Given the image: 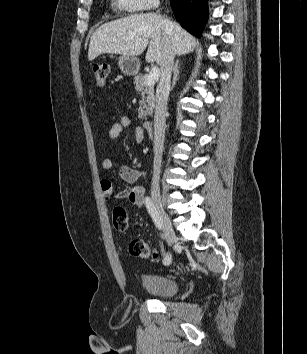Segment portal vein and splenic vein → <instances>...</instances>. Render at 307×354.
<instances>
[{"instance_id":"obj_1","label":"portal vein and splenic vein","mask_w":307,"mask_h":354,"mask_svg":"<svg viewBox=\"0 0 307 354\" xmlns=\"http://www.w3.org/2000/svg\"><path fill=\"white\" fill-rule=\"evenodd\" d=\"M159 69L158 67L154 66L152 67L150 73L147 75L145 83L147 85H152L154 84L158 79H159Z\"/></svg>"}]
</instances>
